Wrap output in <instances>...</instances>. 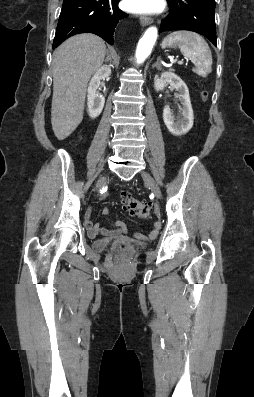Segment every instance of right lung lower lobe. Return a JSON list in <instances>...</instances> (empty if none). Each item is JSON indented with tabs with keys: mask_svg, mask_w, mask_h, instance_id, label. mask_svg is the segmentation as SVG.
I'll use <instances>...</instances> for the list:
<instances>
[{
	"mask_svg": "<svg viewBox=\"0 0 254 397\" xmlns=\"http://www.w3.org/2000/svg\"><path fill=\"white\" fill-rule=\"evenodd\" d=\"M119 0H64L58 20L53 49L66 38L79 33H94L114 44V32L128 16L118 8Z\"/></svg>",
	"mask_w": 254,
	"mask_h": 397,
	"instance_id": "98d812e1",
	"label": "right lung lower lobe"
}]
</instances>
